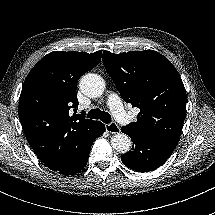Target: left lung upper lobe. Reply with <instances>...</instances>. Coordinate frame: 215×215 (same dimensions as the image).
Returning <instances> with one entry per match:
<instances>
[{"label": "left lung upper lobe", "mask_w": 215, "mask_h": 215, "mask_svg": "<svg viewBox=\"0 0 215 215\" xmlns=\"http://www.w3.org/2000/svg\"><path fill=\"white\" fill-rule=\"evenodd\" d=\"M103 64L126 103L140 109L124 129L154 137H179L186 116V91L171 62L153 50L113 54Z\"/></svg>", "instance_id": "1"}]
</instances>
